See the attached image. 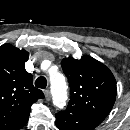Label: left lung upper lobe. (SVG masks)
<instances>
[{
	"label": "left lung upper lobe",
	"mask_w": 130,
	"mask_h": 130,
	"mask_svg": "<svg viewBox=\"0 0 130 130\" xmlns=\"http://www.w3.org/2000/svg\"><path fill=\"white\" fill-rule=\"evenodd\" d=\"M70 85L68 107L104 120L116 99V81L107 66L91 56L72 57L61 61Z\"/></svg>",
	"instance_id": "1"
}]
</instances>
